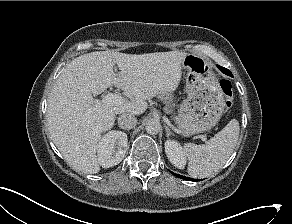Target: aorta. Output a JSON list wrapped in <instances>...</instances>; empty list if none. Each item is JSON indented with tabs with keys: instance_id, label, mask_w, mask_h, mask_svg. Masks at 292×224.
<instances>
[{
	"instance_id": "762f6f07",
	"label": "aorta",
	"mask_w": 292,
	"mask_h": 224,
	"mask_svg": "<svg viewBox=\"0 0 292 224\" xmlns=\"http://www.w3.org/2000/svg\"><path fill=\"white\" fill-rule=\"evenodd\" d=\"M160 129V124L157 120H148L146 123V131L149 134H157Z\"/></svg>"
}]
</instances>
